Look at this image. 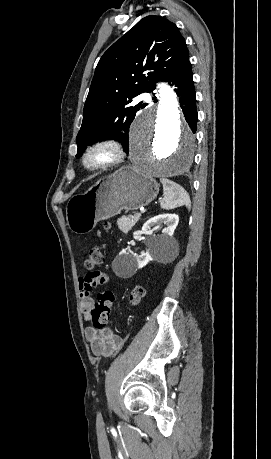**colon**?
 Segmentation results:
<instances>
[{
    "label": "colon",
    "mask_w": 271,
    "mask_h": 459,
    "mask_svg": "<svg viewBox=\"0 0 271 459\" xmlns=\"http://www.w3.org/2000/svg\"><path fill=\"white\" fill-rule=\"evenodd\" d=\"M108 228V224L105 225ZM103 253L97 246L91 247L88 257L85 261L87 269H94L103 263ZM145 289L143 286H135L130 295V302L135 305L144 296ZM114 295L111 291H103L97 296V301L91 313V323L95 328H103L109 321Z\"/></svg>",
    "instance_id": "colon-1"
}]
</instances>
